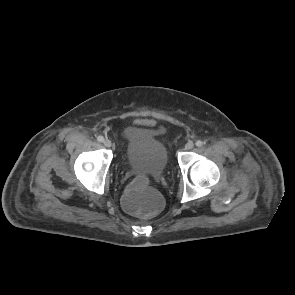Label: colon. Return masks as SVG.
I'll return each instance as SVG.
<instances>
[{
    "instance_id": "colon-1",
    "label": "colon",
    "mask_w": 295,
    "mask_h": 295,
    "mask_svg": "<svg viewBox=\"0 0 295 295\" xmlns=\"http://www.w3.org/2000/svg\"><path fill=\"white\" fill-rule=\"evenodd\" d=\"M121 205L135 217H151L162 207V197L146 176H135L121 194Z\"/></svg>"
}]
</instances>
